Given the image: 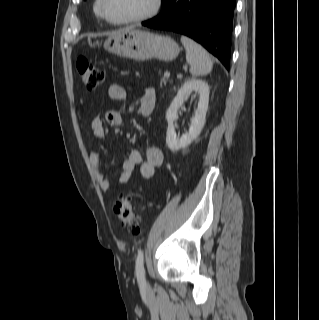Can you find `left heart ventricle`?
Instances as JSON below:
<instances>
[{
	"label": "left heart ventricle",
	"instance_id": "b2bd125f",
	"mask_svg": "<svg viewBox=\"0 0 319 320\" xmlns=\"http://www.w3.org/2000/svg\"><path fill=\"white\" fill-rule=\"evenodd\" d=\"M154 0H106L105 8L113 20H123L142 15L153 7Z\"/></svg>",
	"mask_w": 319,
	"mask_h": 320
}]
</instances>
